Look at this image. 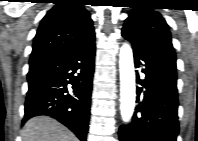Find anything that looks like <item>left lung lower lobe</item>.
Instances as JSON below:
<instances>
[{"instance_id": "obj_1", "label": "left lung lower lobe", "mask_w": 198, "mask_h": 141, "mask_svg": "<svg viewBox=\"0 0 198 141\" xmlns=\"http://www.w3.org/2000/svg\"><path fill=\"white\" fill-rule=\"evenodd\" d=\"M123 35V34H122ZM128 40L135 67L145 74L137 83V106L132 121L119 129L120 141H177L178 92L175 52L170 48L148 49ZM138 73V71H137Z\"/></svg>"}]
</instances>
